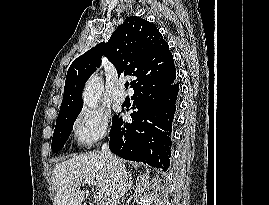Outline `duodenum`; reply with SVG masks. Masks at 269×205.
I'll list each match as a JSON object with an SVG mask.
<instances>
[{"label": "duodenum", "mask_w": 269, "mask_h": 205, "mask_svg": "<svg viewBox=\"0 0 269 205\" xmlns=\"http://www.w3.org/2000/svg\"><path fill=\"white\" fill-rule=\"evenodd\" d=\"M83 205H92L91 203H84Z\"/></svg>", "instance_id": "duodenum-1"}]
</instances>
